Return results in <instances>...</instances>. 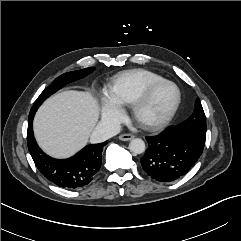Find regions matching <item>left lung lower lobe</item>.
Masks as SVG:
<instances>
[{"label": "left lung lower lobe", "mask_w": 241, "mask_h": 241, "mask_svg": "<svg viewBox=\"0 0 241 241\" xmlns=\"http://www.w3.org/2000/svg\"><path fill=\"white\" fill-rule=\"evenodd\" d=\"M148 148L140 159L145 173L160 182L183 177L196 163L204 145L188 130L170 127L157 136L146 137Z\"/></svg>", "instance_id": "obj_1"}]
</instances>
